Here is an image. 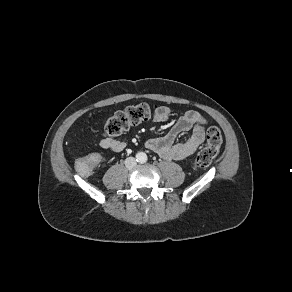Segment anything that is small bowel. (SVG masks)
I'll list each match as a JSON object with an SVG mask.
<instances>
[{"mask_svg": "<svg viewBox=\"0 0 292 292\" xmlns=\"http://www.w3.org/2000/svg\"><path fill=\"white\" fill-rule=\"evenodd\" d=\"M170 110L166 106H160L155 110L154 121L164 122L168 119ZM206 119L197 111L184 113L170 131L158 138L149 139L146 147L166 160H181L193 154L204 142ZM192 131L191 135L182 142L175 143L176 138L183 132ZM100 146L114 153H120L126 149L122 141L110 137H102Z\"/></svg>", "mask_w": 292, "mask_h": 292, "instance_id": "c3829d8e", "label": "small bowel"}]
</instances>
